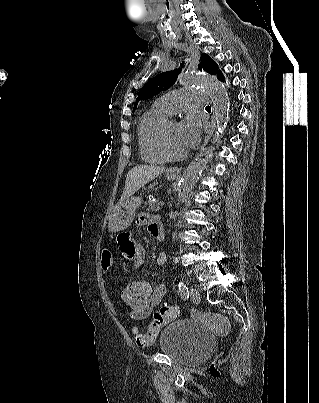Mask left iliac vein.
<instances>
[{
	"instance_id": "left-iliac-vein-1",
	"label": "left iliac vein",
	"mask_w": 319,
	"mask_h": 403,
	"mask_svg": "<svg viewBox=\"0 0 319 403\" xmlns=\"http://www.w3.org/2000/svg\"><path fill=\"white\" fill-rule=\"evenodd\" d=\"M190 298L195 303L200 302V294H199V291L196 288H191L190 289Z\"/></svg>"
}]
</instances>
